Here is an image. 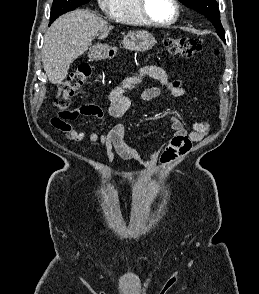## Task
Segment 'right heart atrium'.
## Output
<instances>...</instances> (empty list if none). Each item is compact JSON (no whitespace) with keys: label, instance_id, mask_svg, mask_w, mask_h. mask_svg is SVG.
I'll return each instance as SVG.
<instances>
[{"label":"right heart atrium","instance_id":"right-heart-atrium-1","mask_svg":"<svg viewBox=\"0 0 259 294\" xmlns=\"http://www.w3.org/2000/svg\"><path fill=\"white\" fill-rule=\"evenodd\" d=\"M97 3L103 12L110 13L114 7L115 0H97Z\"/></svg>","mask_w":259,"mask_h":294}]
</instances>
